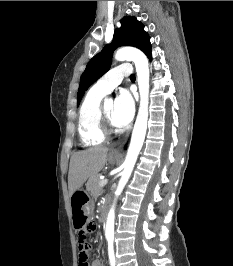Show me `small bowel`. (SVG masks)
Wrapping results in <instances>:
<instances>
[{
    "label": "small bowel",
    "mask_w": 233,
    "mask_h": 266,
    "mask_svg": "<svg viewBox=\"0 0 233 266\" xmlns=\"http://www.w3.org/2000/svg\"><path fill=\"white\" fill-rule=\"evenodd\" d=\"M88 266H102L100 260L93 259L90 263H88Z\"/></svg>",
    "instance_id": "small-bowel-1"
}]
</instances>
